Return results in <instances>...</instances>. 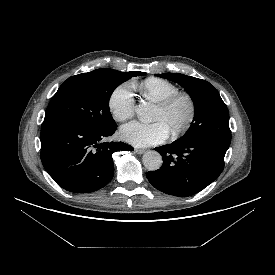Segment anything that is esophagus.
<instances>
[{"label": "esophagus", "instance_id": "34e87169", "mask_svg": "<svg viewBox=\"0 0 275 275\" xmlns=\"http://www.w3.org/2000/svg\"><path fill=\"white\" fill-rule=\"evenodd\" d=\"M134 151H135V153H137V154H143V153L145 152L144 149H138V148H135Z\"/></svg>", "mask_w": 275, "mask_h": 275}]
</instances>
